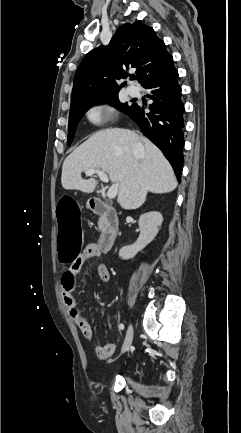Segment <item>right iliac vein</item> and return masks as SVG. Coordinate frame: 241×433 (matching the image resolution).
<instances>
[{
	"instance_id": "right-iliac-vein-1",
	"label": "right iliac vein",
	"mask_w": 241,
	"mask_h": 433,
	"mask_svg": "<svg viewBox=\"0 0 241 433\" xmlns=\"http://www.w3.org/2000/svg\"><path fill=\"white\" fill-rule=\"evenodd\" d=\"M132 339H133V327H132V325H129L128 330L126 332V337H125V340H124V343H123V346L121 349L122 354L125 353L129 349V347L132 343Z\"/></svg>"
}]
</instances>
